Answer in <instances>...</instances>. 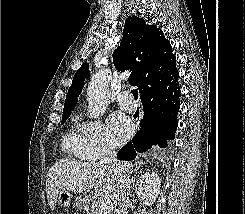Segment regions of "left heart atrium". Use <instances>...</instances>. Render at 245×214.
<instances>
[{
    "mask_svg": "<svg viewBox=\"0 0 245 214\" xmlns=\"http://www.w3.org/2000/svg\"><path fill=\"white\" fill-rule=\"evenodd\" d=\"M108 134L114 146L126 142L132 135L134 127L127 116L115 112L107 120Z\"/></svg>",
    "mask_w": 245,
    "mask_h": 214,
    "instance_id": "39dd6f15",
    "label": "left heart atrium"
}]
</instances>
